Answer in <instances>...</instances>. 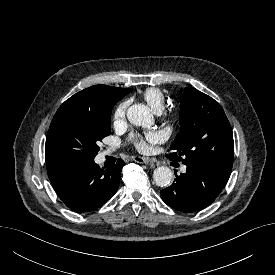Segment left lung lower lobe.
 <instances>
[{
  "label": "left lung lower lobe",
  "mask_w": 275,
  "mask_h": 275,
  "mask_svg": "<svg viewBox=\"0 0 275 275\" xmlns=\"http://www.w3.org/2000/svg\"><path fill=\"white\" fill-rule=\"evenodd\" d=\"M187 171L176 176L174 183L161 190L163 201L184 213L210 205L227 184L232 167L198 162L187 164Z\"/></svg>",
  "instance_id": "1"
}]
</instances>
